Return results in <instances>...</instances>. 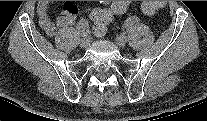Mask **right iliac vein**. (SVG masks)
Listing matches in <instances>:
<instances>
[{
  "instance_id": "63e3f726",
  "label": "right iliac vein",
  "mask_w": 207,
  "mask_h": 121,
  "mask_svg": "<svg viewBox=\"0 0 207 121\" xmlns=\"http://www.w3.org/2000/svg\"><path fill=\"white\" fill-rule=\"evenodd\" d=\"M79 46L81 48H86L88 46V39L86 37L82 38L80 41H79Z\"/></svg>"
}]
</instances>
